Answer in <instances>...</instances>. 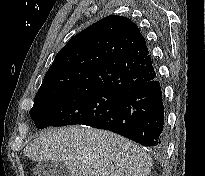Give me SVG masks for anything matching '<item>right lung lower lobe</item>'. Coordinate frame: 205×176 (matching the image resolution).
Wrapping results in <instances>:
<instances>
[{
  "instance_id": "98d812e1",
  "label": "right lung lower lobe",
  "mask_w": 205,
  "mask_h": 176,
  "mask_svg": "<svg viewBox=\"0 0 205 176\" xmlns=\"http://www.w3.org/2000/svg\"><path fill=\"white\" fill-rule=\"evenodd\" d=\"M89 126L115 132L155 152H162L167 135L157 77L130 89L101 119Z\"/></svg>"
}]
</instances>
